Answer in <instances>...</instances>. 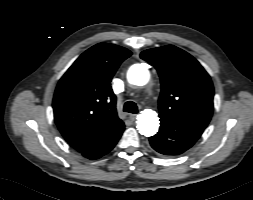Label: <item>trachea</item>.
<instances>
[{
	"label": "trachea",
	"mask_w": 253,
	"mask_h": 200,
	"mask_svg": "<svg viewBox=\"0 0 253 200\" xmlns=\"http://www.w3.org/2000/svg\"><path fill=\"white\" fill-rule=\"evenodd\" d=\"M123 110H124V112H129V113H133V114H136L138 112L137 105L133 101H127L124 104Z\"/></svg>",
	"instance_id": "trachea-1"
}]
</instances>
